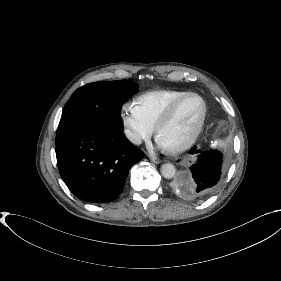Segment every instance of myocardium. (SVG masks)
Masks as SVG:
<instances>
[{"label": "myocardium", "mask_w": 281, "mask_h": 281, "mask_svg": "<svg viewBox=\"0 0 281 281\" xmlns=\"http://www.w3.org/2000/svg\"><path fill=\"white\" fill-rule=\"evenodd\" d=\"M191 97L198 98L202 103V114H201L200 121H199L196 129L194 130V132L191 134V136L187 140H185L184 142L180 143L179 145L171 147V148L164 147V150L169 154L181 153V152L185 151L186 149H188L190 146H192L194 144V142L197 140L198 136L200 135V133L203 129V126H204V123L206 120L207 103H206L205 99L197 93H193V92L186 93V94L182 95L181 97L177 98L176 100H174L167 107V109L163 112V114L160 116L157 123L155 124V136H156V138H158L159 132L170 121V119L174 115L175 111L180 106V104L182 102H184L186 99L191 98Z\"/></svg>", "instance_id": "1"}]
</instances>
